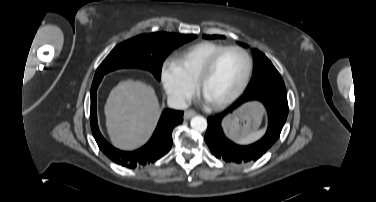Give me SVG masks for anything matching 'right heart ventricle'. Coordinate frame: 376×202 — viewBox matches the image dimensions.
Here are the masks:
<instances>
[{"label":"right heart ventricle","instance_id":"obj_1","mask_svg":"<svg viewBox=\"0 0 376 202\" xmlns=\"http://www.w3.org/2000/svg\"><path fill=\"white\" fill-rule=\"evenodd\" d=\"M226 46L213 41H202L176 53L175 62L184 76L193 84L205 63Z\"/></svg>","mask_w":376,"mask_h":202}]
</instances>
